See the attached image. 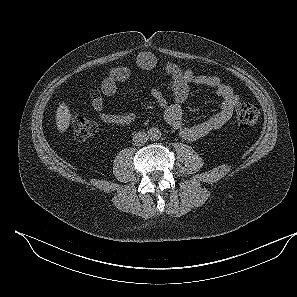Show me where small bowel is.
I'll return each mask as SVG.
<instances>
[{
	"mask_svg": "<svg viewBox=\"0 0 297 297\" xmlns=\"http://www.w3.org/2000/svg\"><path fill=\"white\" fill-rule=\"evenodd\" d=\"M135 65L144 71H154L161 68L168 81V87L173 97V103H168L162 92L157 88L151 89V96L163 109L166 122L176 129L179 135L187 141L199 140L225 125L233 116L234 110L240 103V97L233 88L225 84L219 77L201 75L192 69H183L174 63L160 64L157 57L148 51L140 52ZM131 69L128 66H116L101 82L100 88L91 91L92 106L98 113L101 122L112 126L129 125L135 120L133 113L113 114L105 111L104 96H113L118 84L129 79ZM193 84L203 85L215 90L221 99L220 109L214 115L198 124H187L182 104L188 98Z\"/></svg>",
	"mask_w": 297,
	"mask_h": 297,
	"instance_id": "obj_1",
	"label": "small bowel"
}]
</instances>
